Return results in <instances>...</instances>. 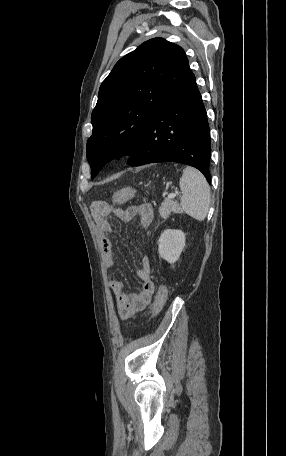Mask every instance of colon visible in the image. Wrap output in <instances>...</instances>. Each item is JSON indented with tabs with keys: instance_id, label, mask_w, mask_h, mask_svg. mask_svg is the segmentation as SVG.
<instances>
[{
	"instance_id": "5ec220e1",
	"label": "colon",
	"mask_w": 286,
	"mask_h": 456,
	"mask_svg": "<svg viewBox=\"0 0 286 456\" xmlns=\"http://www.w3.org/2000/svg\"><path fill=\"white\" fill-rule=\"evenodd\" d=\"M135 192L136 191L134 188L121 189L113 195L112 202H106V201L94 202L93 209L96 211H106L112 206V203L120 204V203H124V202L130 200L131 198L134 197ZM167 299H168V288L166 286H161L156 294L155 301H154V304L152 307L153 315H156L163 308Z\"/></svg>"
}]
</instances>
